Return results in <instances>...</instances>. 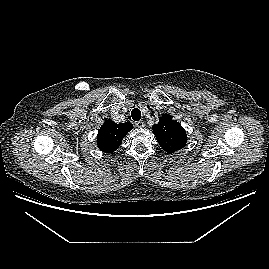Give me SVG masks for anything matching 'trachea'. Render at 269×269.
Listing matches in <instances>:
<instances>
[{"label":"trachea","mask_w":269,"mask_h":269,"mask_svg":"<svg viewBox=\"0 0 269 269\" xmlns=\"http://www.w3.org/2000/svg\"><path fill=\"white\" fill-rule=\"evenodd\" d=\"M131 117L135 121L140 120L141 119V111L138 108H134L131 112Z\"/></svg>","instance_id":"trachea-1"}]
</instances>
